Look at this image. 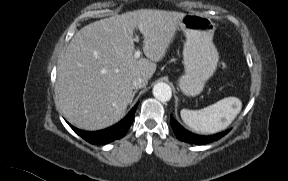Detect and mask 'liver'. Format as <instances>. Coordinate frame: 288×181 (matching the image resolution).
<instances>
[{"instance_id":"obj_1","label":"liver","mask_w":288,"mask_h":181,"mask_svg":"<svg viewBox=\"0 0 288 181\" xmlns=\"http://www.w3.org/2000/svg\"><path fill=\"white\" fill-rule=\"evenodd\" d=\"M184 13L140 9L90 23L70 41L57 69L56 94L66 119L94 131L116 123L133 100L132 82H148ZM147 58H134V30Z\"/></svg>"}]
</instances>
